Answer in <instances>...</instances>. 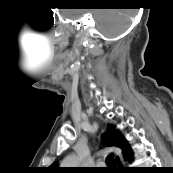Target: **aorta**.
Masks as SVG:
<instances>
[{
  "mask_svg": "<svg viewBox=\"0 0 173 173\" xmlns=\"http://www.w3.org/2000/svg\"><path fill=\"white\" fill-rule=\"evenodd\" d=\"M77 161L74 158H69L65 161V165H71V164H76Z\"/></svg>",
  "mask_w": 173,
  "mask_h": 173,
  "instance_id": "obj_1",
  "label": "aorta"
}]
</instances>
